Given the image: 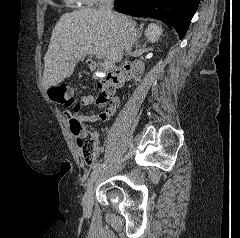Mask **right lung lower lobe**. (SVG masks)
Segmentation results:
<instances>
[{
    "label": "right lung lower lobe",
    "mask_w": 240,
    "mask_h": 238,
    "mask_svg": "<svg viewBox=\"0 0 240 238\" xmlns=\"http://www.w3.org/2000/svg\"><path fill=\"white\" fill-rule=\"evenodd\" d=\"M117 12L136 17H151L172 25L182 39L200 0H115Z\"/></svg>",
    "instance_id": "98d812e1"
}]
</instances>
